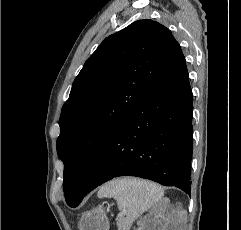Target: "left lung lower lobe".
I'll use <instances>...</instances> for the list:
<instances>
[{"instance_id": "1", "label": "left lung lower lobe", "mask_w": 241, "mask_h": 230, "mask_svg": "<svg viewBox=\"0 0 241 230\" xmlns=\"http://www.w3.org/2000/svg\"><path fill=\"white\" fill-rule=\"evenodd\" d=\"M192 90L185 58L117 130L100 153L93 180L71 205L119 176H136L190 194Z\"/></svg>"}]
</instances>
